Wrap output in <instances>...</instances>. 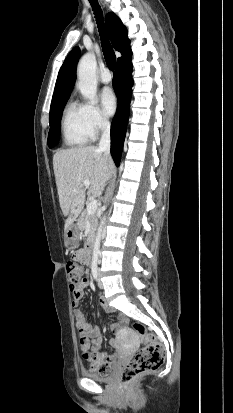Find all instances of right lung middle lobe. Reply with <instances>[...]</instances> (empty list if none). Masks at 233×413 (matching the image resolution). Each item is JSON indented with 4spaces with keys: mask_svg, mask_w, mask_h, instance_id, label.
<instances>
[{
    "mask_svg": "<svg viewBox=\"0 0 233 413\" xmlns=\"http://www.w3.org/2000/svg\"><path fill=\"white\" fill-rule=\"evenodd\" d=\"M67 100L68 98L60 102H57L55 104H51L50 116H49L50 130L48 134V146L50 148H53L59 141L60 120H61L63 108Z\"/></svg>",
    "mask_w": 233,
    "mask_h": 413,
    "instance_id": "1",
    "label": "right lung middle lobe"
}]
</instances>
